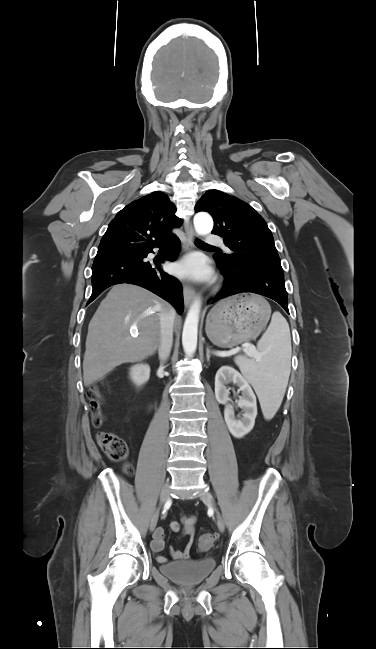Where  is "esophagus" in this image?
Returning a JSON list of instances; mask_svg holds the SVG:
<instances>
[{"label":"esophagus","instance_id":"esophagus-1","mask_svg":"<svg viewBox=\"0 0 376 649\" xmlns=\"http://www.w3.org/2000/svg\"><path fill=\"white\" fill-rule=\"evenodd\" d=\"M185 237H186L187 249L189 250L193 247L194 240L196 238L195 231L190 223H187L185 226ZM183 295H184L185 306L188 307L195 298V290L188 285H184Z\"/></svg>","mask_w":376,"mask_h":649}]
</instances>
